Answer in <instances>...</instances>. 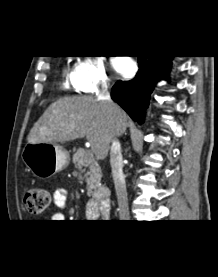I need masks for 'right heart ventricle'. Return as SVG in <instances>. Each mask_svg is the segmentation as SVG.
I'll list each match as a JSON object with an SVG mask.
<instances>
[{
	"label": "right heart ventricle",
	"mask_w": 218,
	"mask_h": 277,
	"mask_svg": "<svg viewBox=\"0 0 218 277\" xmlns=\"http://www.w3.org/2000/svg\"><path fill=\"white\" fill-rule=\"evenodd\" d=\"M64 75L66 77V86H73V76H74V72L73 71H69V70H65L64 71ZM74 87V86H73Z\"/></svg>",
	"instance_id": "obj_1"
}]
</instances>
